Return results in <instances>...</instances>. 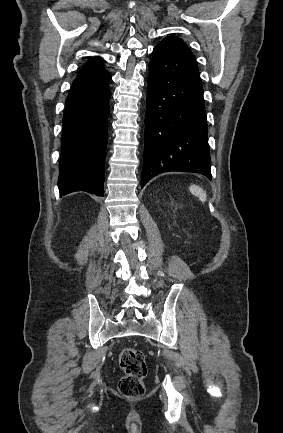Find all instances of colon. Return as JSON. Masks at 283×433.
Wrapping results in <instances>:
<instances>
[{
  "instance_id": "1",
  "label": "colon",
  "mask_w": 283,
  "mask_h": 433,
  "mask_svg": "<svg viewBox=\"0 0 283 433\" xmlns=\"http://www.w3.org/2000/svg\"><path fill=\"white\" fill-rule=\"evenodd\" d=\"M123 376L118 382L120 394L127 398H138L144 394V379L147 375L145 355L138 349L125 347L119 355Z\"/></svg>"
}]
</instances>
